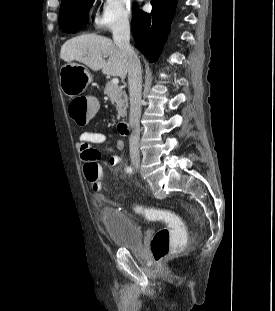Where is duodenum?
<instances>
[{
  "label": "duodenum",
  "instance_id": "1",
  "mask_svg": "<svg viewBox=\"0 0 275 311\" xmlns=\"http://www.w3.org/2000/svg\"><path fill=\"white\" fill-rule=\"evenodd\" d=\"M117 130L121 135H128L130 133V126L126 121H120L117 124Z\"/></svg>",
  "mask_w": 275,
  "mask_h": 311
}]
</instances>
